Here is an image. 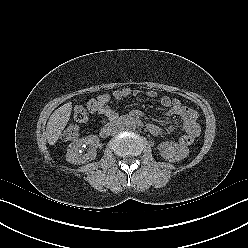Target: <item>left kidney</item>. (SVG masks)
I'll use <instances>...</instances> for the list:
<instances>
[{
    "mask_svg": "<svg viewBox=\"0 0 248 248\" xmlns=\"http://www.w3.org/2000/svg\"><path fill=\"white\" fill-rule=\"evenodd\" d=\"M160 155L170 162H177L187 157L189 149L176 142H163L159 145Z\"/></svg>",
    "mask_w": 248,
    "mask_h": 248,
    "instance_id": "1",
    "label": "left kidney"
}]
</instances>
